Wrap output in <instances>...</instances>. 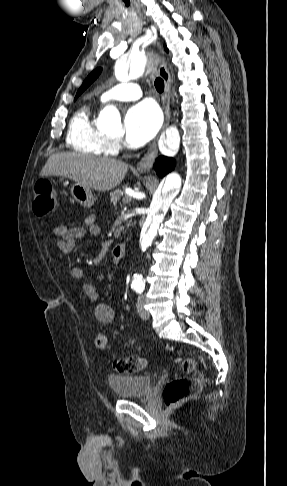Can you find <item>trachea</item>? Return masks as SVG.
<instances>
[{"label": "trachea", "instance_id": "obj_1", "mask_svg": "<svg viewBox=\"0 0 287 486\" xmlns=\"http://www.w3.org/2000/svg\"><path fill=\"white\" fill-rule=\"evenodd\" d=\"M154 85H155V88H156V90L158 92H160V93L163 92V90H164V81H163V79H161L159 77L156 78L155 79V82H154Z\"/></svg>", "mask_w": 287, "mask_h": 486}]
</instances>
